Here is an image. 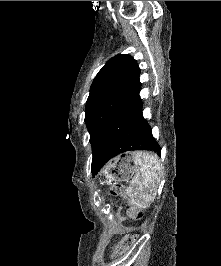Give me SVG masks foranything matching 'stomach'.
<instances>
[{
	"label": "stomach",
	"mask_w": 221,
	"mask_h": 266,
	"mask_svg": "<svg viewBox=\"0 0 221 266\" xmlns=\"http://www.w3.org/2000/svg\"><path fill=\"white\" fill-rule=\"evenodd\" d=\"M139 170L133 153H126L113 159L104 169V175L109 182L130 180Z\"/></svg>",
	"instance_id": "stomach-1"
}]
</instances>
